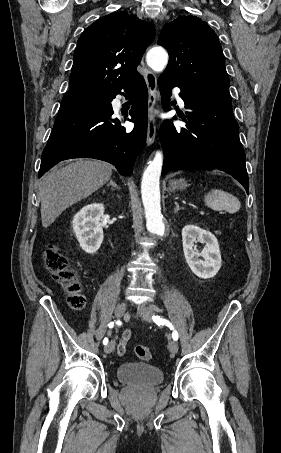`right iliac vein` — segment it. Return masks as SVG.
<instances>
[{
    "instance_id": "obj_1",
    "label": "right iliac vein",
    "mask_w": 281,
    "mask_h": 453,
    "mask_svg": "<svg viewBox=\"0 0 281 453\" xmlns=\"http://www.w3.org/2000/svg\"><path fill=\"white\" fill-rule=\"evenodd\" d=\"M115 312H114V315L115 317L117 318H120L122 317L123 315V312L125 311L126 309V306L124 303H117L116 306H115ZM115 342L114 341H109L108 344L105 346V350L104 352H114V348H115ZM108 354V353H107Z\"/></svg>"
}]
</instances>
